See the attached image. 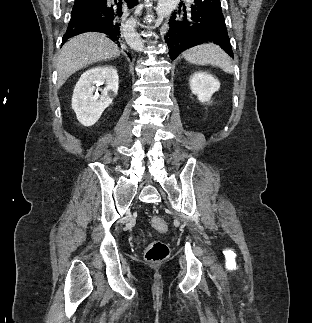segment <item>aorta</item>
Here are the masks:
<instances>
[{"mask_svg":"<svg viewBox=\"0 0 312 323\" xmlns=\"http://www.w3.org/2000/svg\"><path fill=\"white\" fill-rule=\"evenodd\" d=\"M125 40H126L128 46H130V48H132V50H136V52H143L144 44H143L139 34H137V32H135V30H131V32H128V34H126V36H125Z\"/></svg>","mask_w":312,"mask_h":323,"instance_id":"aorta-1","label":"aorta"}]
</instances>
